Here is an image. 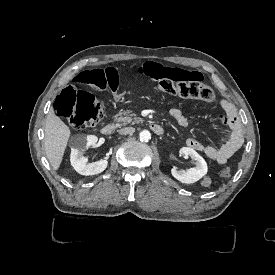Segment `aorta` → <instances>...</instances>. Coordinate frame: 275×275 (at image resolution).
Segmentation results:
<instances>
[{
  "label": "aorta",
  "instance_id": "obj_1",
  "mask_svg": "<svg viewBox=\"0 0 275 275\" xmlns=\"http://www.w3.org/2000/svg\"><path fill=\"white\" fill-rule=\"evenodd\" d=\"M139 139L142 142H148L151 139V133L148 130H143L139 133Z\"/></svg>",
  "mask_w": 275,
  "mask_h": 275
}]
</instances>
